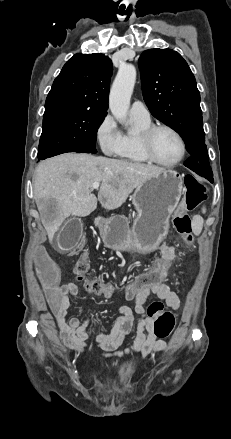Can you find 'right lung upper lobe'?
<instances>
[{"instance_id":"cb5924a9","label":"right lung upper lobe","mask_w":231,"mask_h":439,"mask_svg":"<svg viewBox=\"0 0 231 439\" xmlns=\"http://www.w3.org/2000/svg\"><path fill=\"white\" fill-rule=\"evenodd\" d=\"M112 62L103 54H75L54 80L44 117L66 112L107 115Z\"/></svg>"}]
</instances>
